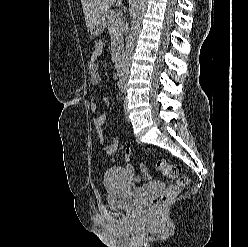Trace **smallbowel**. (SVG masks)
Listing matches in <instances>:
<instances>
[{
	"mask_svg": "<svg viewBox=\"0 0 248 247\" xmlns=\"http://www.w3.org/2000/svg\"><path fill=\"white\" fill-rule=\"evenodd\" d=\"M102 53H103V43L98 41L97 45L94 47L90 62L88 64L90 83L93 86H97L101 82V75L99 73V68L97 65V59L102 55ZM90 110L93 113L97 112V110H98L97 102H92L90 104ZM105 121H106L105 115H98L93 120L97 135L101 139L103 138L102 127H103ZM118 148H119V140L115 137L112 138V141L110 143L104 144L105 152L111 156L116 154ZM131 153L132 152H131L130 148H125L124 158H125L126 163L120 168L124 169L130 175L133 183H135V182H138L140 180V177L134 176V168H133V165L130 163Z\"/></svg>",
	"mask_w": 248,
	"mask_h": 247,
	"instance_id": "obj_1",
	"label": "small bowel"
}]
</instances>
